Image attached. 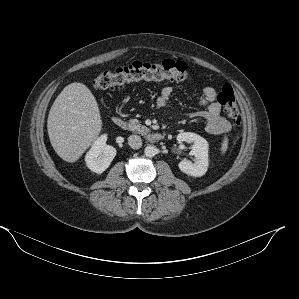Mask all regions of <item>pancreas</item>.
I'll return each mask as SVG.
<instances>
[{"label": "pancreas", "instance_id": "pancreas-1", "mask_svg": "<svg viewBox=\"0 0 299 299\" xmlns=\"http://www.w3.org/2000/svg\"><path fill=\"white\" fill-rule=\"evenodd\" d=\"M127 130L133 131L135 133H139L142 135L148 134L150 132V129L146 126H142L140 122L137 119H131L126 124L125 127Z\"/></svg>", "mask_w": 299, "mask_h": 299}]
</instances>
